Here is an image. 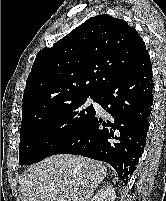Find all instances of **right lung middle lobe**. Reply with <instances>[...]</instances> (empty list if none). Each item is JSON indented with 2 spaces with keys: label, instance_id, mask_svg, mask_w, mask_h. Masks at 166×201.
<instances>
[{
  "label": "right lung middle lobe",
  "instance_id": "obj_1",
  "mask_svg": "<svg viewBox=\"0 0 166 201\" xmlns=\"http://www.w3.org/2000/svg\"><path fill=\"white\" fill-rule=\"evenodd\" d=\"M89 96L37 113L22 115L19 163L30 165L51 156L95 114ZM95 101V96H90Z\"/></svg>",
  "mask_w": 166,
  "mask_h": 201
}]
</instances>
